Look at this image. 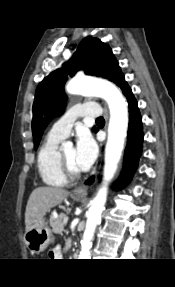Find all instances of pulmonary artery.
<instances>
[{
    "label": "pulmonary artery",
    "mask_w": 175,
    "mask_h": 287,
    "mask_svg": "<svg viewBox=\"0 0 175 287\" xmlns=\"http://www.w3.org/2000/svg\"><path fill=\"white\" fill-rule=\"evenodd\" d=\"M101 108L94 103H85L83 105H75L71 107L68 112L57 120L50 129V134L64 139L68 136L76 119L83 116H100Z\"/></svg>",
    "instance_id": "obj_1"
}]
</instances>
